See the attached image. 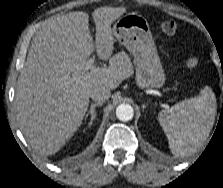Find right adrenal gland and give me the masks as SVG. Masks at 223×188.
Wrapping results in <instances>:
<instances>
[{"mask_svg": "<svg viewBox=\"0 0 223 188\" xmlns=\"http://www.w3.org/2000/svg\"><path fill=\"white\" fill-rule=\"evenodd\" d=\"M101 105H102L101 103L91 104L90 110L86 114V118L90 115V122H89L88 126H90L92 124V121L94 120V118L96 116L95 108L97 106H101Z\"/></svg>", "mask_w": 223, "mask_h": 188, "instance_id": "1", "label": "right adrenal gland"}]
</instances>
